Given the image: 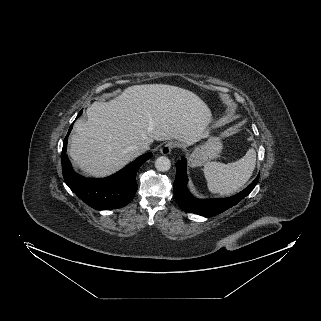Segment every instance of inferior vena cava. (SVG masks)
Listing matches in <instances>:
<instances>
[{
    "instance_id": "obj_1",
    "label": "inferior vena cava",
    "mask_w": 321,
    "mask_h": 321,
    "mask_svg": "<svg viewBox=\"0 0 321 321\" xmlns=\"http://www.w3.org/2000/svg\"><path fill=\"white\" fill-rule=\"evenodd\" d=\"M149 144L148 143H142V144H139L135 147V149L139 152V153H143L147 150H149Z\"/></svg>"
}]
</instances>
